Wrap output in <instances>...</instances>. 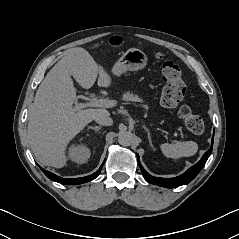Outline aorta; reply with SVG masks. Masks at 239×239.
<instances>
[{"instance_id":"obj_1","label":"aorta","mask_w":239,"mask_h":239,"mask_svg":"<svg viewBox=\"0 0 239 239\" xmlns=\"http://www.w3.org/2000/svg\"><path fill=\"white\" fill-rule=\"evenodd\" d=\"M118 142L122 146H130L134 142V135L130 131H121L119 133Z\"/></svg>"}]
</instances>
